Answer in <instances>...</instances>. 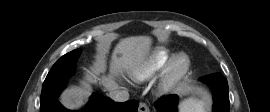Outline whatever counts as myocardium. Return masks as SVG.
<instances>
[{
	"mask_svg": "<svg viewBox=\"0 0 270 112\" xmlns=\"http://www.w3.org/2000/svg\"><path fill=\"white\" fill-rule=\"evenodd\" d=\"M190 68L191 59L186 53L181 52L171 56L158 77V90L162 93L171 90L182 81Z\"/></svg>",
	"mask_w": 270,
	"mask_h": 112,
	"instance_id": "obj_1",
	"label": "myocardium"
}]
</instances>
